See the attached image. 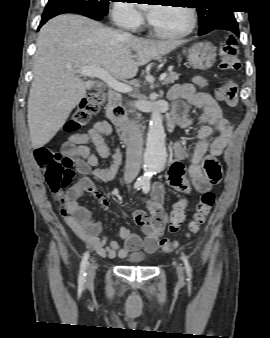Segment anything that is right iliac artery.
Segmentation results:
<instances>
[{"instance_id": "1", "label": "right iliac artery", "mask_w": 270, "mask_h": 338, "mask_svg": "<svg viewBox=\"0 0 270 338\" xmlns=\"http://www.w3.org/2000/svg\"><path fill=\"white\" fill-rule=\"evenodd\" d=\"M144 184H145V182L136 181L135 184H134V189L139 190L140 188L143 187ZM88 258H89V253L88 252L84 253V256H83V259H82V262H81V266H80L79 277H78L79 285H83V283L85 282L86 268H87V265H88Z\"/></svg>"}]
</instances>
